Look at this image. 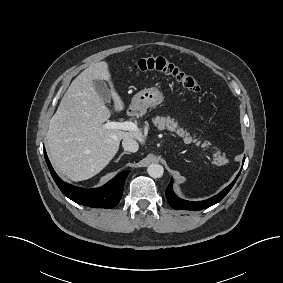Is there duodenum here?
I'll use <instances>...</instances> for the list:
<instances>
[{"mask_svg":"<svg viewBox=\"0 0 283 283\" xmlns=\"http://www.w3.org/2000/svg\"><path fill=\"white\" fill-rule=\"evenodd\" d=\"M137 113V109L135 107H131L128 109V115L134 116Z\"/></svg>","mask_w":283,"mask_h":283,"instance_id":"duodenum-1","label":"duodenum"}]
</instances>
